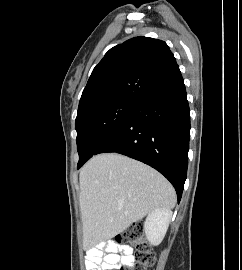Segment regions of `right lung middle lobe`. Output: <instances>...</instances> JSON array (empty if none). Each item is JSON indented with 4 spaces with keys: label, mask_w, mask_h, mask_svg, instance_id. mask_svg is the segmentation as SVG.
<instances>
[{
    "label": "right lung middle lobe",
    "mask_w": 242,
    "mask_h": 270,
    "mask_svg": "<svg viewBox=\"0 0 242 270\" xmlns=\"http://www.w3.org/2000/svg\"><path fill=\"white\" fill-rule=\"evenodd\" d=\"M135 101L117 100L88 109L77 115L79 162L90 159L96 150L119 128Z\"/></svg>",
    "instance_id": "right-lung-middle-lobe-1"
}]
</instances>
